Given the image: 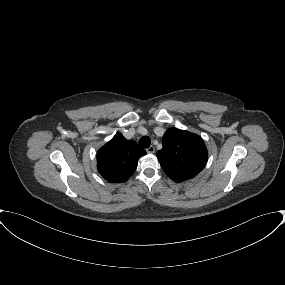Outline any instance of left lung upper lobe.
Instances as JSON below:
<instances>
[{"instance_id": "1", "label": "left lung upper lobe", "mask_w": 285, "mask_h": 285, "mask_svg": "<svg viewBox=\"0 0 285 285\" xmlns=\"http://www.w3.org/2000/svg\"><path fill=\"white\" fill-rule=\"evenodd\" d=\"M162 150L156 156L166 175L173 181L189 180L206 165L208 152L203 139L188 131L168 129L162 138Z\"/></svg>"}]
</instances>
